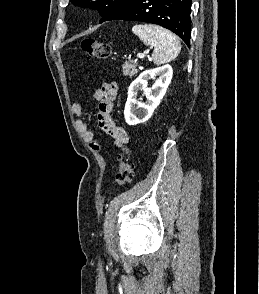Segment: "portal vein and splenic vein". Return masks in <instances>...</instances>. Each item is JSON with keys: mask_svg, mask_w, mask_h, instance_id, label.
I'll return each instance as SVG.
<instances>
[{"mask_svg": "<svg viewBox=\"0 0 259 294\" xmlns=\"http://www.w3.org/2000/svg\"><path fill=\"white\" fill-rule=\"evenodd\" d=\"M137 57H138L139 59H143V58L145 57V54L138 53V54H137Z\"/></svg>", "mask_w": 259, "mask_h": 294, "instance_id": "obj_1", "label": "portal vein and splenic vein"}]
</instances>
